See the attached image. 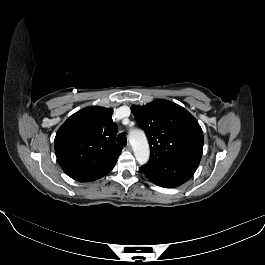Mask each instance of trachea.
<instances>
[{
	"instance_id": "obj_1",
	"label": "trachea",
	"mask_w": 265,
	"mask_h": 265,
	"mask_svg": "<svg viewBox=\"0 0 265 265\" xmlns=\"http://www.w3.org/2000/svg\"><path fill=\"white\" fill-rule=\"evenodd\" d=\"M117 143L122 145V146H126L127 145V138H126V135L124 133H120L118 136H117Z\"/></svg>"
}]
</instances>
